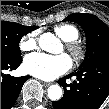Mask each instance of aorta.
Here are the masks:
<instances>
[{"label":"aorta","instance_id":"obj_1","mask_svg":"<svg viewBox=\"0 0 109 109\" xmlns=\"http://www.w3.org/2000/svg\"><path fill=\"white\" fill-rule=\"evenodd\" d=\"M61 43L52 33H44L40 36L39 46L41 49L50 52L57 53L59 51ZM63 95L62 88L59 85H51L48 88V97L52 101H58Z\"/></svg>","mask_w":109,"mask_h":109}]
</instances>
